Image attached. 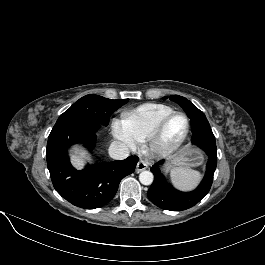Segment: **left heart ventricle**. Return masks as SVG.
Listing matches in <instances>:
<instances>
[{"label":"left heart ventricle","mask_w":265,"mask_h":265,"mask_svg":"<svg viewBox=\"0 0 265 265\" xmlns=\"http://www.w3.org/2000/svg\"><path fill=\"white\" fill-rule=\"evenodd\" d=\"M186 128V121L182 116L175 115L167 123L163 134L161 136V142L164 144H170L177 141Z\"/></svg>","instance_id":"b2bd125f"}]
</instances>
